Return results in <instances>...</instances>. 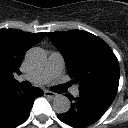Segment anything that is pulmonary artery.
<instances>
[{
  "label": "pulmonary artery",
  "instance_id": "obj_1",
  "mask_svg": "<svg viewBox=\"0 0 128 128\" xmlns=\"http://www.w3.org/2000/svg\"><path fill=\"white\" fill-rule=\"evenodd\" d=\"M63 69V56L59 52H52L49 56L47 65L44 68L31 72L30 74L21 75L20 79L30 81L37 85H43L59 76ZM78 93V88L72 89V94L74 96L78 95Z\"/></svg>",
  "mask_w": 128,
  "mask_h": 128
}]
</instances>
